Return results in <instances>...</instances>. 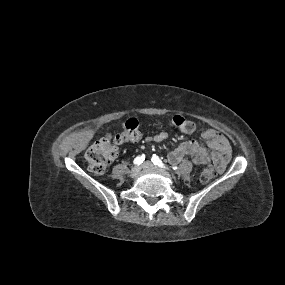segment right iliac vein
<instances>
[{
    "mask_svg": "<svg viewBox=\"0 0 285 285\" xmlns=\"http://www.w3.org/2000/svg\"><path fill=\"white\" fill-rule=\"evenodd\" d=\"M140 173V167L139 166H134L131 170H130V177L131 178H136Z\"/></svg>",
    "mask_w": 285,
    "mask_h": 285,
    "instance_id": "1",
    "label": "right iliac vein"
}]
</instances>
